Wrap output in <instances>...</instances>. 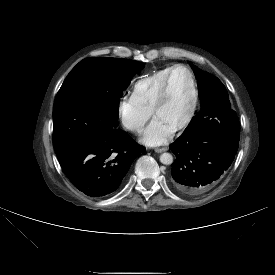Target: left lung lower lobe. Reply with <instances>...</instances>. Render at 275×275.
<instances>
[{
    "label": "left lung lower lobe",
    "mask_w": 275,
    "mask_h": 275,
    "mask_svg": "<svg viewBox=\"0 0 275 275\" xmlns=\"http://www.w3.org/2000/svg\"><path fill=\"white\" fill-rule=\"evenodd\" d=\"M238 146L239 138L219 129L193 136L181 135L170 145L176 155L173 185L188 195L208 191L229 168Z\"/></svg>",
    "instance_id": "0a47b994"
}]
</instances>
